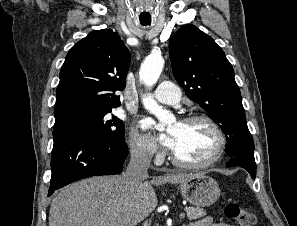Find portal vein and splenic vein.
<instances>
[{
  "label": "portal vein and splenic vein",
  "instance_id": "obj_1",
  "mask_svg": "<svg viewBox=\"0 0 297 226\" xmlns=\"http://www.w3.org/2000/svg\"><path fill=\"white\" fill-rule=\"evenodd\" d=\"M184 217H185V213L183 212L180 214V218L183 219Z\"/></svg>",
  "mask_w": 297,
  "mask_h": 226
}]
</instances>
